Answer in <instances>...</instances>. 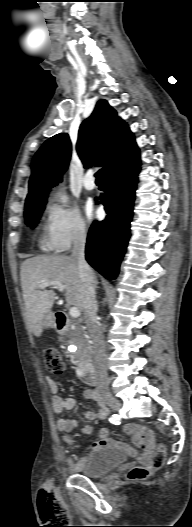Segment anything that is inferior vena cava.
Wrapping results in <instances>:
<instances>
[{
	"label": "inferior vena cava",
	"mask_w": 192,
	"mask_h": 527,
	"mask_svg": "<svg viewBox=\"0 0 192 527\" xmlns=\"http://www.w3.org/2000/svg\"><path fill=\"white\" fill-rule=\"evenodd\" d=\"M85 243V229L83 226H79L74 232L71 257L77 260L79 275L83 284V311L88 334L92 341L98 386L105 388L108 384L105 365V342L97 320L95 277L91 267L85 260Z\"/></svg>",
	"instance_id": "1"
}]
</instances>
